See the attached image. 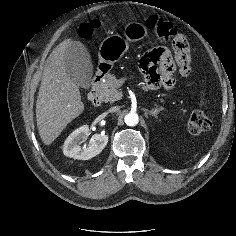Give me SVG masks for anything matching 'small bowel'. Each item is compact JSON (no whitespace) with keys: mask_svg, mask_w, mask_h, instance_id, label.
<instances>
[{"mask_svg":"<svg viewBox=\"0 0 236 236\" xmlns=\"http://www.w3.org/2000/svg\"><path fill=\"white\" fill-rule=\"evenodd\" d=\"M190 60V50L186 58L176 55V60L165 47H157L146 53L140 60V69L146 77L147 88L151 90L173 88L176 70L182 77L190 74Z\"/></svg>","mask_w":236,"mask_h":236,"instance_id":"c3829d8e","label":"small bowel"}]
</instances>
